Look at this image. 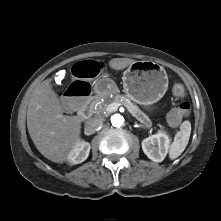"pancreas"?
I'll use <instances>...</instances> for the list:
<instances>
[{"label":"pancreas","instance_id":"cf45deb5","mask_svg":"<svg viewBox=\"0 0 221 221\" xmlns=\"http://www.w3.org/2000/svg\"><path fill=\"white\" fill-rule=\"evenodd\" d=\"M119 103L123 106H125L128 111L141 123H143L146 127H151L152 126V122L149 119V117L139 109V107L130 102V100L127 97H123V96H118L117 98H113L112 100L109 101H104L103 103L100 102L99 99H96L94 101H92L90 103L89 106V111L90 113H100V112H104L107 109V106L110 103Z\"/></svg>","mask_w":221,"mask_h":221}]
</instances>
